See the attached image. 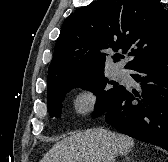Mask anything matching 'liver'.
Returning a JSON list of instances; mask_svg holds the SVG:
<instances>
[{
	"label": "liver",
	"mask_w": 168,
	"mask_h": 162,
	"mask_svg": "<svg viewBox=\"0 0 168 162\" xmlns=\"http://www.w3.org/2000/svg\"><path fill=\"white\" fill-rule=\"evenodd\" d=\"M134 140L102 128L73 133L58 141L40 162H113L114 152L127 155Z\"/></svg>",
	"instance_id": "6515ba94"
}]
</instances>
